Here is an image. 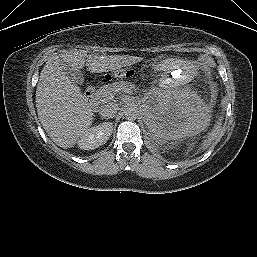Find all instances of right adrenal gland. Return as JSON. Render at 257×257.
Returning <instances> with one entry per match:
<instances>
[{
    "label": "right adrenal gland",
    "instance_id": "2a0ac1e0",
    "mask_svg": "<svg viewBox=\"0 0 257 257\" xmlns=\"http://www.w3.org/2000/svg\"><path fill=\"white\" fill-rule=\"evenodd\" d=\"M102 119H106V120H108L109 118H104V117H102Z\"/></svg>",
    "mask_w": 257,
    "mask_h": 257
}]
</instances>
